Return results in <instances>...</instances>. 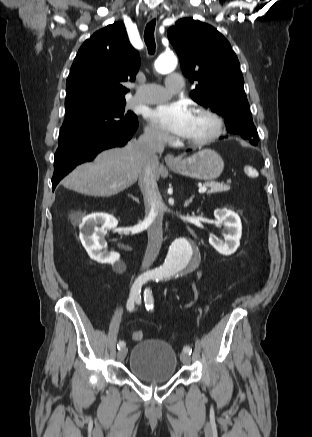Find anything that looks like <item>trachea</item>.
Here are the masks:
<instances>
[{
    "label": "trachea",
    "instance_id": "3493384b",
    "mask_svg": "<svg viewBox=\"0 0 312 437\" xmlns=\"http://www.w3.org/2000/svg\"><path fill=\"white\" fill-rule=\"evenodd\" d=\"M155 24L156 21L155 19H153L152 21H150L146 28H145V32H144V40L145 43L148 47L149 53L152 54L155 50V39H154V29H155Z\"/></svg>",
    "mask_w": 312,
    "mask_h": 437
}]
</instances>
